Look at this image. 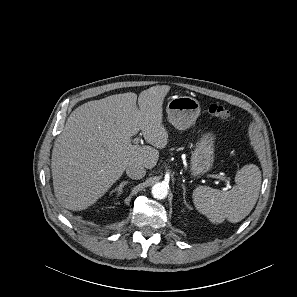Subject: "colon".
Wrapping results in <instances>:
<instances>
[{
  "label": "colon",
  "instance_id": "colon-1",
  "mask_svg": "<svg viewBox=\"0 0 297 297\" xmlns=\"http://www.w3.org/2000/svg\"><path fill=\"white\" fill-rule=\"evenodd\" d=\"M207 111L209 114L215 117L225 119V120L231 119V114L229 113V111L219 104H209L207 106ZM228 164L231 167H235L237 165V161L236 159L231 158L229 159Z\"/></svg>",
  "mask_w": 297,
  "mask_h": 297
}]
</instances>
